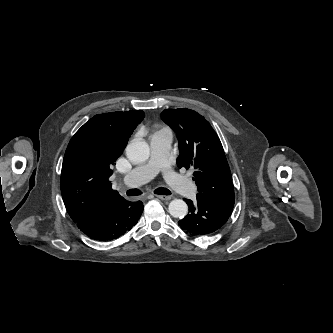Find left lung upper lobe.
<instances>
[{
  "mask_svg": "<svg viewBox=\"0 0 333 333\" xmlns=\"http://www.w3.org/2000/svg\"><path fill=\"white\" fill-rule=\"evenodd\" d=\"M161 117L177 134L178 168L194 169L197 195L213 203L233 206L235 194L230 168L219 137L209 122L186 108L166 109Z\"/></svg>",
  "mask_w": 333,
  "mask_h": 333,
  "instance_id": "obj_1",
  "label": "left lung upper lobe"
}]
</instances>
